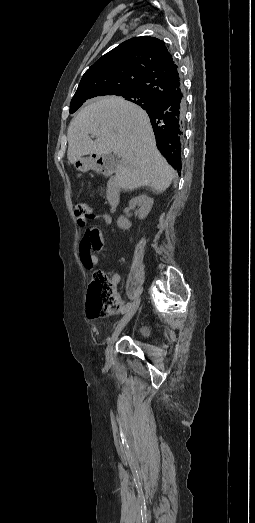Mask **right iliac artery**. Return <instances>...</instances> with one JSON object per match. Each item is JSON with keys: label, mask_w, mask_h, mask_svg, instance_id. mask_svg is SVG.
I'll return each mask as SVG.
<instances>
[{"label": "right iliac artery", "mask_w": 255, "mask_h": 523, "mask_svg": "<svg viewBox=\"0 0 255 523\" xmlns=\"http://www.w3.org/2000/svg\"><path fill=\"white\" fill-rule=\"evenodd\" d=\"M130 306H131V303H127V304L123 307V309H122V314L125 313V312L129 309Z\"/></svg>", "instance_id": "right-iliac-artery-1"}]
</instances>
